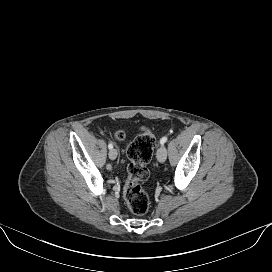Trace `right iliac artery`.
<instances>
[{
    "label": "right iliac artery",
    "instance_id": "obj_1",
    "mask_svg": "<svg viewBox=\"0 0 272 272\" xmlns=\"http://www.w3.org/2000/svg\"><path fill=\"white\" fill-rule=\"evenodd\" d=\"M108 148H109V149H112V148H113V144H112V143H109V144H108Z\"/></svg>",
    "mask_w": 272,
    "mask_h": 272
}]
</instances>
